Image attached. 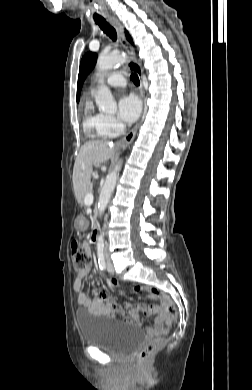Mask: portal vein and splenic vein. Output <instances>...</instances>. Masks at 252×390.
<instances>
[{
    "mask_svg": "<svg viewBox=\"0 0 252 390\" xmlns=\"http://www.w3.org/2000/svg\"><path fill=\"white\" fill-rule=\"evenodd\" d=\"M85 204H91L93 202V195L92 194H87L85 199H84Z\"/></svg>",
    "mask_w": 252,
    "mask_h": 390,
    "instance_id": "portal-vein-and-splenic-vein-1",
    "label": "portal vein and splenic vein"
}]
</instances>
